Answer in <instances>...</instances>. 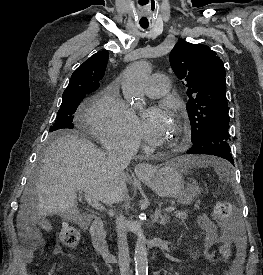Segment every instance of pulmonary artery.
Masks as SVG:
<instances>
[{
  "label": "pulmonary artery",
  "mask_w": 263,
  "mask_h": 275,
  "mask_svg": "<svg viewBox=\"0 0 263 275\" xmlns=\"http://www.w3.org/2000/svg\"><path fill=\"white\" fill-rule=\"evenodd\" d=\"M169 91V82L163 74L151 75L145 85V94L150 98H159Z\"/></svg>",
  "instance_id": "e3ab8cb5"
}]
</instances>
